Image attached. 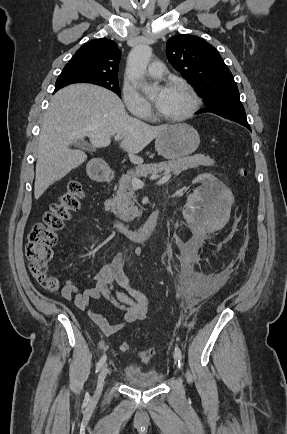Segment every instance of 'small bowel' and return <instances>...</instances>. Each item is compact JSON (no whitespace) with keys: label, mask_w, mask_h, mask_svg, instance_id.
Returning <instances> with one entry per match:
<instances>
[{"label":"small bowel","mask_w":287,"mask_h":434,"mask_svg":"<svg viewBox=\"0 0 287 434\" xmlns=\"http://www.w3.org/2000/svg\"><path fill=\"white\" fill-rule=\"evenodd\" d=\"M125 259L123 253L115 256L96 275L93 287L82 290L74 281H68L62 291V298L73 302L80 311L87 313L106 337L117 333L127 324L144 319L148 310V298L131 286L123 271ZM114 284L124 291L116 290ZM92 300L102 301L105 305L120 310L121 320L111 323L92 308Z\"/></svg>","instance_id":"obj_1"}]
</instances>
